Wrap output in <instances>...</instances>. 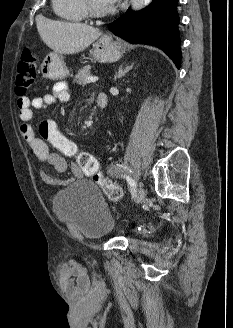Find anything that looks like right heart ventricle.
Segmentation results:
<instances>
[{"label": "right heart ventricle", "mask_w": 233, "mask_h": 328, "mask_svg": "<svg viewBox=\"0 0 233 328\" xmlns=\"http://www.w3.org/2000/svg\"><path fill=\"white\" fill-rule=\"evenodd\" d=\"M55 13L69 21H82L87 17L83 0H52Z\"/></svg>", "instance_id": "e07e8e85"}]
</instances>
